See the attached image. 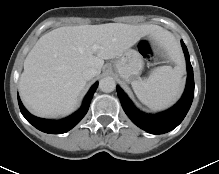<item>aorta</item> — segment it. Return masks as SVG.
<instances>
[{
    "label": "aorta",
    "mask_w": 219,
    "mask_h": 174,
    "mask_svg": "<svg viewBox=\"0 0 219 174\" xmlns=\"http://www.w3.org/2000/svg\"><path fill=\"white\" fill-rule=\"evenodd\" d=\"M99 88L102 92L110 93L116 88L115 80L110 77L103 78L99 81Z\"/></svg>",
    "instance_id": "obj_1"
}]
</instances>
